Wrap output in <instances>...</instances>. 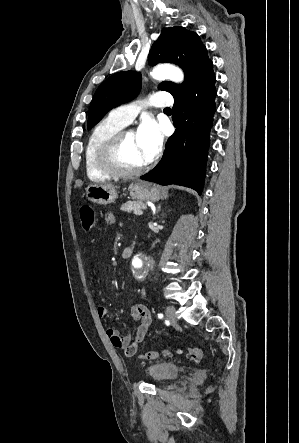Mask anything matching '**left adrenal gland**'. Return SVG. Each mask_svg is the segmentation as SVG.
<instances>
[{
    "mask_svg": "<svg viewBox=\"0 0 299 443\" xmlns=\"http://www.w3.org/2000/svg\"><path fill=\"white\" fill-rule=\"evenodd\" d=\"M160 209H161V205H159V206L157 207V213L160 211Z\"/></svg>",
    "mask_w": 299,
    "mask_h": 443,
    "instance_id": "obj_1",
    "label": "left adrenal gland"
}]
</instances>
